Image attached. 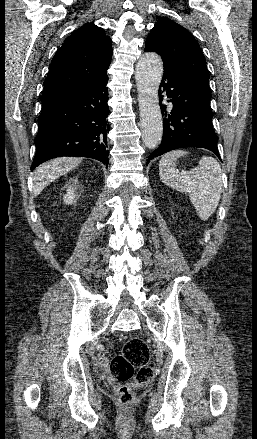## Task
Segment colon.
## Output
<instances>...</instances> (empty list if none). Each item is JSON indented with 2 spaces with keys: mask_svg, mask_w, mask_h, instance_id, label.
<instances>
[{
  "mask_svg": "<svg viewBox=\"0 0 257 439\" xmlns=\"http://www.w3.org/2000/svg\"><path fill=\"white\" fill-rule=\"evenodd\" d=\"M154 375L149 348L138 337L127 340L122 352L112 359L109 366V378L114 384L115 396L124 406L133 402V388L149 383Z\"/></svg>",
  "mask_w": 257,
  "mask_h": 439,
  "instance_id": "5ec220e1",
  "label": "colon"
}]
</instances>
